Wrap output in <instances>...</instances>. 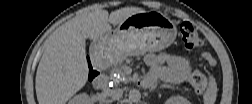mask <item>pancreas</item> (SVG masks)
Returning a JSON list of instances; mask_svg holds the SVG:
<instances>
[{
	"mask_svg": "<svg viewBox=\"0 0 252 104\" xmlns=\"http://www.w3.org/2000/svg\"><path fill=\"white\" fill-rule=\"evenodd\" d=\"M119 71V70H118ZM121 76L125 79V81H129L130 77H128L127 75H125L124 73L121 74Z\"/></svg>",
	"mask_w": 252,
	"mask_h": 104,
	"instance_id": "cf45deb5",
	"label": "pancreas"
}]
</instances>
